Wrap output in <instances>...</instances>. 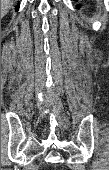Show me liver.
<instances>
[{"label":"liver","mask_w":109,"mask_h":170,"mask_svg":"<svg viewBox=\"0 0 109 170\" xmlns=\"http://www.w3.org/2000/svg\"><path fill=\"white\" fill-rule=\"evenodd\" d=\"M14 0H2L1 1V15L2 17L5 16L12 6Z\"/></svg>","instance_id":"obj_1"}]
</instances>
